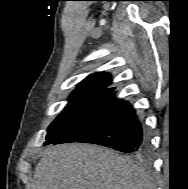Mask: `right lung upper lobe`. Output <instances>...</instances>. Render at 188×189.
<instances>
[{
  "label": "right lung upper lobe",
  "mask_w": 188,
  "mask_h": 189,
  "mask_svg": "<svg viewBox=\"0 0 188 189\" xmlns=\"http://www.w3.org/2000/svg\"><path fill=\"white\" fill-rule=\"evenodd\" d=\"M112 83L111 75L105 72H96L80 82L73 93L104 92L112 93L114 88H107Z\"/></svg>",
  "instance_id": "right-lung-upper-lobe-1"
}]
</instances>
